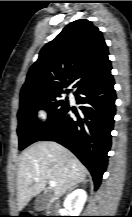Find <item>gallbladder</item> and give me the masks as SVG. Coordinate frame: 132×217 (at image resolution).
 I'll list each match as a JSON object with an SVG mask.
<instances>
[{
    "mask_svg": "<svg viewBox=\"0 0 132 217\" xmlns=\"http://www.w3.org/2000/svg\"><path fill=\"white\" fill-rule=\"evenodd\" d=\"M51 198H52V193L50 192H45L39 195L35 200L34 208L38 211L44 210L48 206Z\"/></svg>",
    "mask_w": 132,
    "mask_h": 217,
    "instance_id": "obj_1",
    "label": "gallbladder"
}]
</instances>
